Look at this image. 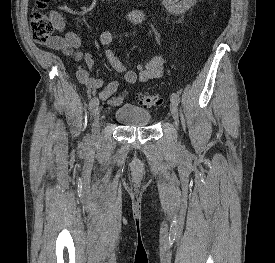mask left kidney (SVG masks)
I'll list each match as a JSON object with an SVG mask.
<instances>
[{"mask_svg": "<svg viewBox=\"0 0 275 263\" xmlns=\"http://www.w3.org/2000/svg\"><path fill=\"white\" fill-rule=\"evenodd\" d=\"M196 0H163V5L167 11L173 15L185 13Z\"/></svg>", "mask_w": 275, "mask_h": 263, "instance_id": "5707ae66", "label": "left kidney"}]
</instances>
